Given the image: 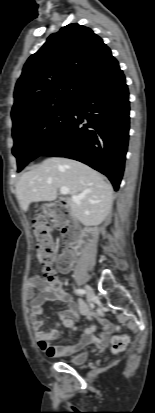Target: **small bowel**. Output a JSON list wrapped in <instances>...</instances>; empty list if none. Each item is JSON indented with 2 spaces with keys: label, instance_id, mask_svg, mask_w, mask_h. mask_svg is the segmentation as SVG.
Here are the masks:
<instances>
[{
  "label": "small bowel",
  "instance_id": "obj_1",
  "mask_svg": "<svg viewBox=\"0 0 155 413\" xmlns=\"http://www.w3.org/2000/svg\"><path fill=\"white\" fill-rule=\"evenodd\" d=\"M70 267L71 265L69 268ZM35 288L40 289L38 295L34 294ZM25 295L29 300V319L32 326L33 336L38 348L48 356L55 358L66 357L78 352L88 344L100 343L104 345L108 342L112 332L111 324L106 319L100 318L97 313L90 312L88 305L83 301H80L77 307L64 288L51 289L44 284L40 276H34L27 284ZM51 300H57L68 304L65 310L58 312V316L66 327L74 331L78 329L74 324V320L77 318L79 309L80 313L86 316L90 321L98 318L101 323V331L97 334L95 333V328L90 327L85 329L83 335L74 343L66 346L52 345L51 341L56 340L59 335L57 329L54 328L50 331L41 330V326L44 322L43 305Z\"/></svg>",
  "mask_w": 155,
  "mask_h": 413
}]
</instances>
